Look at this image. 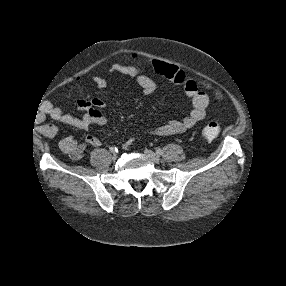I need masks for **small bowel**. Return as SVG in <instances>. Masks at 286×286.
<instances>
[{"label":"small bowel","mask_w":286,"mask_h":286,"mask_svg":"<svg viewBox=\"0 0 286 286\" xmlns=\"http://www.w3.org/2000/svg\"><path fill=\"white\" fill-rule=\"evenodd\" d=\"M160 64L165 68V75L161 76L174 83L183 85L186 96L192 105L191 111L183 119L170 120L152 131L155 135L167 136L186 131L201 121L206 114L209 98L206 93L199 89L196 80L186 71L172 64ZM112 71L134 78L145 95L152 94L156 89L155 81L149 76L141 74L135 67L114 64ZM93 81L99 89H104L107 86V81L103 76L96 75L93 77ZM77 105L84 112L80 118L66 113L62 108L57 106L50 107L48 114L53 120L80 130H88L91 125H103L106 123L107 118L101 110L104 107V102L101 99H80ZM41 130L45 135L53 136L58 132V127L55 125H43ZM132 143L133 140L129 139L125 143V148L131 147ZM100 144L99 138L89 134L86 136L84 143H79L74 137L67 136L59 142V147L72 160H79L84 156L87 146L96 147Z\"/></svg>","instance_id":"small-bowel-1"}]
</instances>
